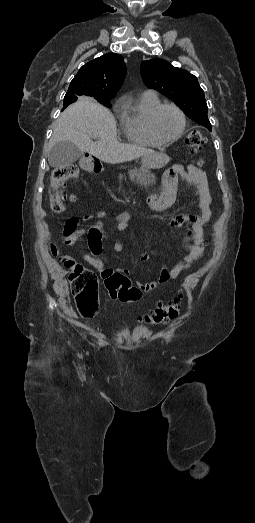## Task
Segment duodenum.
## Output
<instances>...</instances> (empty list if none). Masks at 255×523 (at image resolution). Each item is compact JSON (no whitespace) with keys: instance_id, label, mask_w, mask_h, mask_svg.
<instances>
[{"instance_id":"1","label":"duodenum","mask_w":255,"mask_h":523,"mask_svg":"<svg viewBox=\"0 0 255 523\" xmlns=\"http://www.w3.org/2000/svg\"><path fill=\"white\" fill-rule=\"evenodd\" d=\"M80 166L84 171L91 173H100L102 170L99 158L91 154H87L81 159Z\"/></svg>"}]
</instances>
